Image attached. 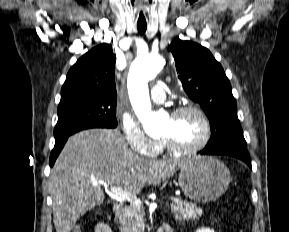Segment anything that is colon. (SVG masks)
Here are the masks:
<instances>
[{"mask_svg": "<svg viewBox=\"0 0 289 232\" xmlns=\"http://www.w3.org/2000/svg\"><path fill=\"white\" fill-rule=\"evenodd\" d=\"M72 232H81L80 227H75V228L72 230ZM238 232H241V231H238Z\"/></svg>", "mask_w": 289, "mask_h": 232, "instance_id": "obj_1", "label": "colon"}]
</instances>
